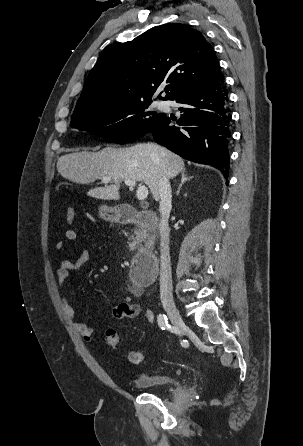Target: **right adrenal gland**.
I'll list each match as a JSON object with an SVG mask.
<instances>
[{
    "label": "right adrenal gland",
    "instance_id": "right-adrenal-gland-1",
    "mask_svg": "<svg viewBox=\"0 0 303 446\" xmlns=\"http://www.w3.org/2000/svg\"><path fill=\"white\" fill-rule=\"evenodd\" d=\"M192 178H193V176H189V177L187 176L186 169H183L181 171V182H180V185H179V187L177 189L176 195L180 194V190H181L182 186L184 185V183H186L187 181L191 180Z\"/></svg>",
    "mask_w": 303,
    "mask_h": 446
}]
</instances>
